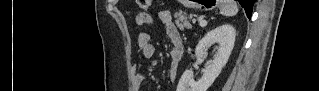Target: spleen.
<instances>
[{"label":"spleen","instance_id":"spleen-1","mask_svg":"<svg viewBox=\"0 0 319 91\" xmlns=\"http://www.w3.org/2000/svg\"><path fill=\"white\" fill-rule=\"evenodd\" d=\"M238 12V6L233 0H221L220 1V13L223 16H234Z\"/></svg>","mask_w":319,"mask_h":91}]
</instances>
